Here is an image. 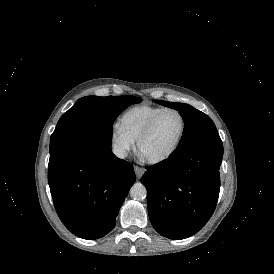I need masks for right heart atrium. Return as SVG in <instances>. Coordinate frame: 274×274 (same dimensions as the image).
Listing matches in <instances>:
<instances>
[{
  "label": "right heart atrium",
  "instance_id": "d8ad5b80",
  "mask_svg": "<svg viewBox=\"0 0 274 274\" xmlns=\"http://www.w3.org/2000/svg\"><path fill=\"white\" fill-rule=\"evenodd\" d=\"M110 145L116 155L122 159L134 149L135 143L117 125L110 129Z\"/></svg>",
  "mask_w": 274,
  "mask_h": 274
}]
</instances>
